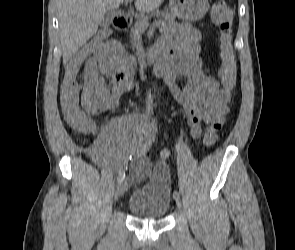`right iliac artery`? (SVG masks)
Listing matches in <instances>:
<instances>
[{
  "label": "right iliac artery",
  "instance_id": "82829eb1",
  "mask_svg": "<svg viewBox=\"0 0 295 250\" xmlns=\"http://www.w3.org/2000/svg\"><path fill=\"white\" fill-rule=\"evenodd\" d=\"M124 178H125V172L124 171H120L119 172V175L117 177V182L118 183L122 182L124 180Z\"/></svg>",
  "mask_w": 295,
  "mask_h": 250
}]
</instances>
